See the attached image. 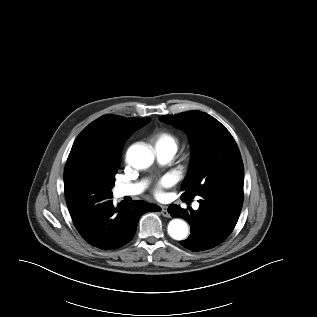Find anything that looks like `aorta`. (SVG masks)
<instances>
[{
    "label": "aorta",
    "instance_id": "obj_1",
    "mask_svg": "<svg viewBox=\"0 0 317 317\" xmlns=\"http://www.w3.org/2000/svg\"><path fill=\"white\" fill-rule=\"evenodd\" d=\"M126 158L129 165L133 168L146 169L153 164L155 157L150 147L133 145L128 149ZM167 231L171 238L183 240L187 237L189 228L185 221L176 218L169 222Z\"/></svg>",
    "mask_w": 317,
    "mask_h": 317
}]
</instances>
